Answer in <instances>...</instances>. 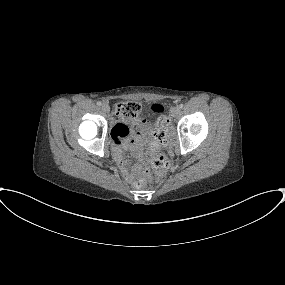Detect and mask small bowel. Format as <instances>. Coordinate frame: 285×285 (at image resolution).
Instances as JSON below:
<instances>
[{
  "instance_id": "c3829d8e",
  "label": "small bowel",
  "mask_w": 285,
  "mask_h": 285,
  "mask_svg": "<svg viewBox=\"0 0 285 285\" xmlns=\"http://www.w3.org/2000/svg\"><path fill=\"white\" fill-rule=\"evenodd\" d=\"M133 130L130 132V127L127 121L122 119L116 123L111 132L112 138V153L114 158L121 166V171L124 178L131 182L134 173L128 169V162L123 158V150L125 147L139 149L149 136L151 124L143 117H138L132 121Z\"/></svg>"
}]
</instances>
